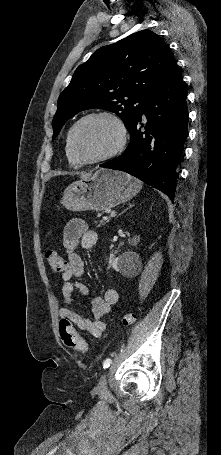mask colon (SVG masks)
Masks as SVG:
<instances>
[{
    "instance_id": "obj_1",
    "label": "colon",
    "mask_w": 221,
    "mask_h": 455,
    "mask_svg": "<svg viewBox=\"0 0 221 455\" xmlns=\"http://www.w3.org/2000/svg\"><path fill=\"white\" fill-rule=\"evenodd\" d=\"M46 259L54 272L63 273L67 269V261L55 250H48L46 252ZM134 320L135 317L132 314H127L123 317V322L126 325L132 324ZM59 331L60 337L66 346L82 353L88 351L87 342L76 332L68 319H61Z\"/></svg>"
}]
</instances>
